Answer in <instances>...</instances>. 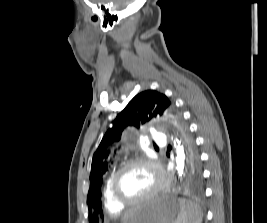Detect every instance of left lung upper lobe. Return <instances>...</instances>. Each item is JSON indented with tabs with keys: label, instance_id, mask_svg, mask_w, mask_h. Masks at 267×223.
Here are the masks:
<instances>
[{
	"label": "left lung upper lobe",
	"instance_id": "obj_1",
	"mask_svg": "<svg viewBox=\"0 0 267 223\" xmlns=\"http://www.w3.org/2000/svg\"><path fill=\"white\" fill-rule=\"evenodd\" d=\"M156 116H163L175 125L186 150L187 170L202 171L195 142L190 137L180 114L176 112L174 103L166 95L155 90L141 92L116 117L112 127L105 133L98 149L93 154L87 203L89 214H94V223L98 214H106V206H101L100 189L103 176L108 170L115 151L114 148H111V144L121 139L122 132L128 126L139 129Z\"/></svg>",
	"mask_w": 267,
	"mask_h": 223
}]
</instances>
